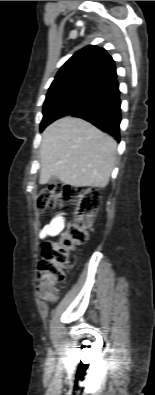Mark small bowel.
Segmentation results:
<instances>
[{"label":"small bowel","mask_w":155,"mask_h":395,"mask_svg":"<svg viewBox=\"0 0 155 395\" xmlns=\"http://www.w3.org/2000/svg\"><path fill=\"white\" fill-rule=\"evenodd\" d=\"M65 224V218L62 215L54 217L47 225H45L39 233L41 239L58 235Z\"/></svg>","instance_id":"obj_1"}]
</instances>
